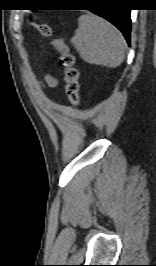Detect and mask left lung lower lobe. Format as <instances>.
<instances>
[{
	"label": "left lung lower lobe",
	"instance_id": "0a47b994",
	"mask_svg": "<svg viewBox=\"0 0 156 266\" xmlns=\"http://www.w3.org/2000/svg\"><path fill=\"white\" fill-rule=\"evenodd\" d=\"M90 3L96 5L91 8H85L83 10H90L91 12L110 21L123 33L128 44L130 45V9L121 7H110V0H93L90 1Z\"/></svg>",
	"mask_w": 156,
	"mask_h": 266
}]
</instances>
